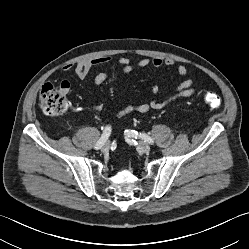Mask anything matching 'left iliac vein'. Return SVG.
<instances>
[{
  "mask_svg": "<svg viewBox=\"0 0 249 249\" xmlns=\"http://www.w3.org/2000/svg\"><path fill=\"white\" fill-rule=\"evenodd\" d=\"M138 149L143 153H149L151 150L150 146L145 142H140L138 144Z\"/></svg>",
  "mask_w": 249,
  "mask_h": 249,
  "instance_id": "1",
  "label": "left iliac vein"
}]
</instances>
